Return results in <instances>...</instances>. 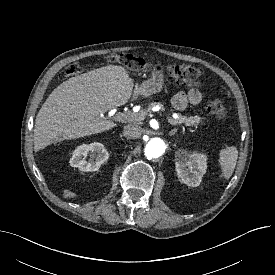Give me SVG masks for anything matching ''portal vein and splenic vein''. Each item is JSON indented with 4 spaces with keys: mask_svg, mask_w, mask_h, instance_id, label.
<instances>
[{
    "mask_svg": "<svg viewBox=\"0 0 275 275\" xmlns=\"http://www.w3.org/2000/svg\"><path fill=\"white\" fill-rule=\"evenodd\" d=\"M143 114L142 113H139V114H136V113H118L116 114V116L114 117L115 121H121V122H124V121H133V120H140V119H143L141 116ZM113 116V114L109 115V117ZM168 122L172 125H176L175 123H173L172 121H170L168 119Z\"/></svg>",
    "mask_w": 275,
    "mask_h": 275,
    "instance_id": "1",
    "label": "portal vein and splenic vein"
}]
</instances>
